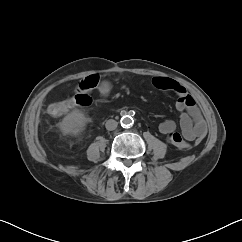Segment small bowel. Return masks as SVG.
<instances>
[{
  "instance_id": "obj_1",
  "label": "small bowel",
  "mask_w": 242,
  "mask_h": 242,
  "mask_svg": "<svg viewBox=\"0 0 242 242\" xmlns=\"http://www.w3.org/2000/svg\"><path fill=\"white\" fill-rule=\"evenodd\" d=\"M91 78L98 79L96 75H90L79 83L78 88ZM152 84L159 90L174 92L177 95L176 108L181 112V133L176 131V123L173 120L163 121L159 125L160 133L166 135L168 141L180 149H189L192 141L202 140L207 132L206 123L194 98L187 92L186 88L175 80L166 77H155L152 80ZM108 88L109 85L107 82H102L100 84L101 90L106 89L108 91ZM74 107L75 104L70 100L66 112Z\"/></svg>"
}]
</instances>
